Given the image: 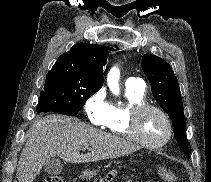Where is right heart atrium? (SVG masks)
Segmentation results:
<instances>
[{
	"instance_id": "right-heart-atrium-1",
	"label": "right heart atrium",
	"mask_w": 211,
	"mask_h": 182,
	"mask_svg": "<svg viewBox=\"0 0 211 182\" xmlns=\"http://www.w3.org/2000/svg\"><path fill=\"white\" fill-rule=\"evenodd\" d=\"M110 107L111 104L104 89L96 91L84 103V111L89 122L96 126L104 124L109 115Z\"/></svg>"
}]
</instances>
